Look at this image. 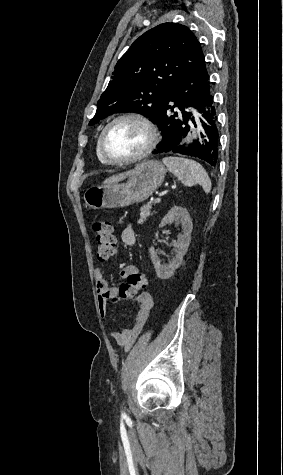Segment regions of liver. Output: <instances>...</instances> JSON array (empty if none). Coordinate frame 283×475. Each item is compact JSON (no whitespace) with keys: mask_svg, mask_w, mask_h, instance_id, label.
<instances>
[{"mask_svg":"<svg viewBox=\"0 0 283 475\" xmlns=\"http://www.w3.org/2000/svg\"><path fill=\"white\" fill-rule=\"evenodd\" d=\"M131 172H123V174H117V176H111L103 182L104 186H109V184H117V182H122L127 176H130Z\"/></svg>","mask_w":283,"mask_h":475,"instance_id":"obj_1","label":"liver"}]
</instances>
